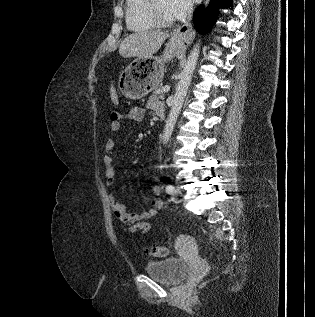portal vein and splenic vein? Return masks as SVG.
I'll list each match as a JSON object with an SVG mask.
<instances>
[{"instance_id": "obj_1", "label": "portal vein and splenic vein", "mask_w": 315, "mask_h": 317, "mask_svg": "<svg viewBox=\"0 0 315 317\" xmlns=\"http://www.w3.org/2000/svg\"><path fill=\"white\" fill-rule=\"evenodd\" d=\"M169 89H170V87L167 85V86H165V87L162 88V91H163L164 93H166V92L169 91Z\"/></svg>"}]
</instances>
